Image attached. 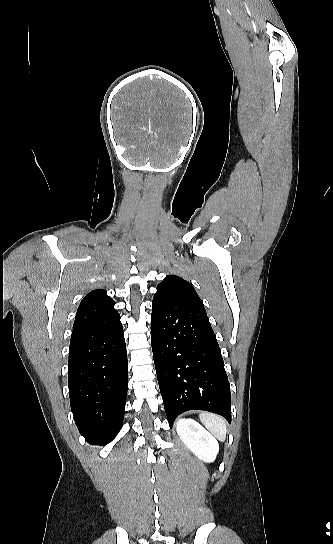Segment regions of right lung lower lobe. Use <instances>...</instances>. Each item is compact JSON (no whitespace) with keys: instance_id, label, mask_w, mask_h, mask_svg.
Instances as JSON below:
<instances>
[{"instance_id":"98d812e1","label":"right lung lower lobe","mask_w":333,"mask_h":544,"mask_svg":"<svg viewBox=\"0 0 333 544\" xmlns=\"http://www.w3.org/2000/svg\"><path fill=\"white\" fill-rule=\"evenodd\" d=\"M128 363L118 313L73 328L68 360L71 410L90 444L111 442L122 427Z\"/></svg>"}]
</instances>
